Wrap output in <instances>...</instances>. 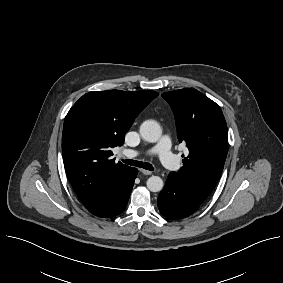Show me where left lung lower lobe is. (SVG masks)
Returning a JSON list of instances; mask_svg holds the SVG:
<instances>
[{
    "instance_id": "0a47b994",
    "label": "left lung lower lobe",
    "mask_w": 283,
    "mask_h": 283,
    "mask_svg": "<svg viewBox=\"0 0 283 283\" xmlns=\"http://www.w3.org/2000/svg\"><path fill=\"white\" fill-rule=\"evenodd\" d=\"M201 203L192 197L171 173L158 196V208L165 217L184 218L198 210Z\"/></svg>"
}]
</instances>
